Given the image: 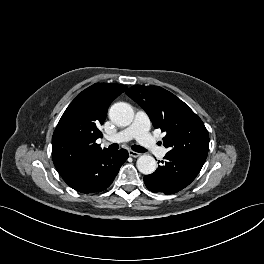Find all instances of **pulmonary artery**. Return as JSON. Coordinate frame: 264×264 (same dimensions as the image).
Instances as JSON below:
<instances>
[{"mask_svg": "<svg viewBox=\"0 0 264 264\" xmlns=\"http://www.w3.org/2000/svg\"><path fill=\"white\" fill-rule=\"evenodd\" d=\"M150 120L143 111H138L130 126L118 133L107 137L110 142H126L136 139L143 147L158 158H163L166 154L165 148L158 146L154 138L149 133Z\"/></svg>", "mask_w": 264, "mask_h": 264, "instance_id": "e3ab8cb5", "label": "pulmonary artery"}]
</instances>
